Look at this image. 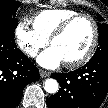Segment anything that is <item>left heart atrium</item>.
Segmentation results:
<instances>
[{
    "mask_svg": "<svg viewBox=\"0 0 108 108\" xmlns=\"http://www.w3.org/2000/svg\"><path fill=\"white\" fill-rule=\"evenodd\" d=\"M38 63L47 68H55L63 63V59L59 52L51 47L41 53L37 59Z\"/></svg>",
    "mask_w": 108,
    "mask_h": 108,
    "instance_id": "left-heart-atrium-1",
    "label": "left heart atrium"
}]
</instances>
